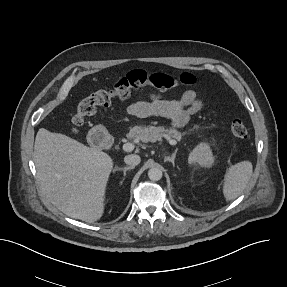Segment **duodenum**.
Here are the masks:
<instances>
[{
    "label": "duodenum",
    "instance_id": "1",
    "mask_svg": "<svg viewBox=\"0 0 287 287\" xmlns=\"http://www.w3.org/2000/svg\"><path fill=\"white\" fill-rule=\"evenodd\" d=\"M89 140L92 146L111 148L114 145V139L104 130L97 128L90 136Z\"/></svg>",
    "mask_w": 287,
    "mask_h": 287
}]
</instances>
